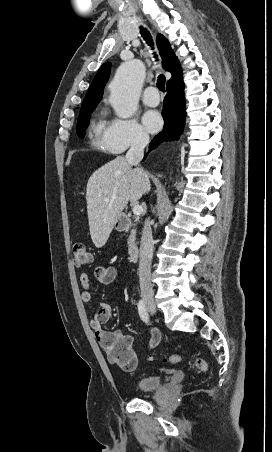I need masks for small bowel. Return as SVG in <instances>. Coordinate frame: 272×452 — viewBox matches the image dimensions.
Segmentation results:
<instances>
[{"mask_svg": "<svg viewBox=\"0 0 272 452\" xmlns=\"http://www.w3.org/2000/svg\"><path fill=\"white\" fill-rule=\"evenodd\" d=\"M95 278L103 284L112 283L117 277V270L114 266H97L94 270ZM80 282L82 285L81 299L85 303L92 302L93 290L89 276L86 272L80 274ZM113 316V308L111 304L102 302L99 304L97 312L93 319L90 320V327L94 331L95 338L102 350L108 352L110 345L118 338H127L129 343L131 338L124 335L120 330L105 331L102 326L109 322ZM150 339L148 349L156 348L161 341V333L155 328L149 329ZM133 370V369H132Z\"/></svg>", "mask_w": 272, "mask_h": 452, "instance_id": "obj_1", "label": "small bowel"}]
</instances>
